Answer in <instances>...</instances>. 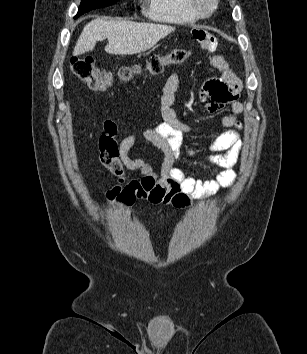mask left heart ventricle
Instances as JSON below:
<instances>
[{
  "mask_svg": "<svg viewBox=\"0 0 307 354\" xmlns=\"http://www.w3.org/2000/svg\"><path fill=\"white\" fill-rule=\"evenodd\" d=\"M203 6H204V7H207V6H208V2H207V0H204V2H203Z\"/></svg>",
  "mask_w": 307,
  "mask_h": 354,
  "instance_id": "obj_1",
  "label": "left heart ventricle"
}]
</instances>
